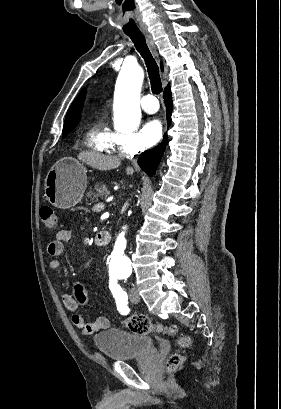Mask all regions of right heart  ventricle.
<instances>
[{"label":"right heart ventricle","mask_w":281,"mask_h":409,"mask_svg":"<svg viewBox=\"0 0 281 409\" xmlns=\"http://www.w3.org/2000/svg\"><path fill=\"white\" fill-rule=\"evenodd\" d=\"M91 149L98 155L111 154L118 149L121 152H129L118 143V135L109 128L104 120L96 121L89 132Z\"/></svg>","instance_id":"obj_1"}]
</instances>
